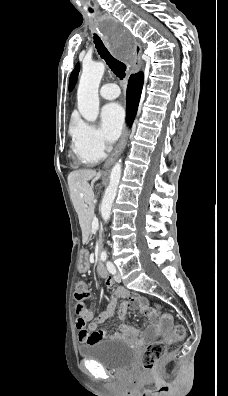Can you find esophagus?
<instances>
[{
	"label": "esophagus",
	"mask_w": 228,
	"mask_h": 396,
	"mask_svg": "<svg viewBox=\"0 0 228 396\" xmlns=\"http://www.w3.org/2000/svg\"><path fill=\"white\" fill-rule=\"evenodd\" d=\"M141 52L142 48L139 43H135L134 45V53H133V62L131 64V71L132 72H138L141 69ZM129 130L126 128L121 140L119 141L117 147L115 148L114 152L112 155L109 157V159L105 162L104 168H108L112 165L114 160L118 157V155L121 153L123 150L127 137H128Z\"/></svg>",
	"instance_id": "1"
}]
</instances>
